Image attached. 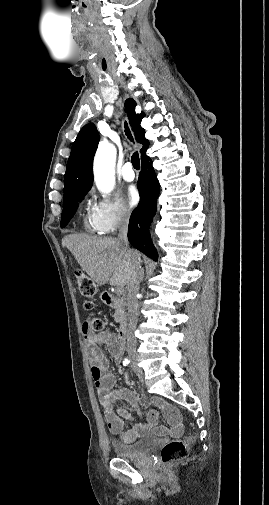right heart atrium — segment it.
I'll use <instances>...</instances> for the list:
<instances>
[{
    "label": "right heart atrium",
    "mask_w": 269,
    "mask_h": 505,
    "mask_svg": "<svg viewBox=\"0 0 269 505\" xmlns=\"http://www.w3.org/2000/svg\"><path fill=\"white\" fill-rule=\"evenodd\" d=\"M94 220L102 233H110L126 223L130 218V210L119 199H97L93 206Z\"/></svg>",
    "instance_id": "right-heart-atrium-1"
}]
</instances>
